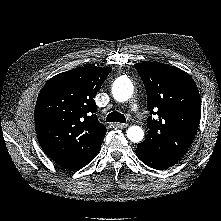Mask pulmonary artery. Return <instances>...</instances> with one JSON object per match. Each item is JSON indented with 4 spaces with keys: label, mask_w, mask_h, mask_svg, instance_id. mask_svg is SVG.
Returning <instances> with one entry per match:
<instances>
[{
    "label": "pulmonary artery",
    "mask_w": 221,
    "mask_h": 221,
    "mask_svg": "<svg viewBox=\"0 0 221 221\" xmlns=\"http://www.w3.org/2000/svg\"><path fill=\"white\" fill-rule=\"evenodd\" d=\"M132 110H133V111H135V112H137V111H138V107H137V105H136V104H133V105H132Z\"/></svg>",
    "instance_id": "pulmonary-artery-1"
}]
</instances>
